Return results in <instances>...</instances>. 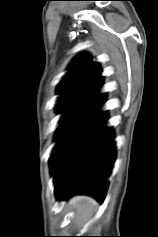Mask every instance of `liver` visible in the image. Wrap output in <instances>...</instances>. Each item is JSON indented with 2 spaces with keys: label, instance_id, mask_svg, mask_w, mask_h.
I'll return each instance as SVG.
<instances>
[{
  "label": "liver",
  "instance_id": "6515ba94",
  "mask_svg": "<svg viewBox=\"0 0 158 237\" xmlns=\"http://www.w3.org/2000/svg\"><path fill=\"white\" fill-rule=\"evenodd\" d=\"M70 206L75 212L78 226L85 224L96 210V202L88 196H75L69 201Z\"/></svg>",
  "mask_w": 158,
  "mask_h": 237
}]
</instances>
